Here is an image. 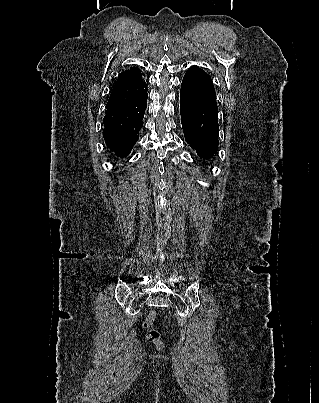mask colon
<instances>
[{
  "label": "colon",
  "mask_w": 319,
  "mask_h": 403,
  "mask_svg": "<svg viewBox=\"0 0 319 403\" xmlns=\"http://www.w3.org/2000/svg\"><path fill=\"white\" fill-rule=\"evenodd\" d=\"M154 318H155V313L151 312L147 316L145 326L149 327L150 323L154 320ZM147 339H148V341L155 343L158 348H161L162 345H161V342L159 340L158 332H156L154 330H149L148 333H147Z\"/></svg>",
  "instance_id": "1"
}]
</instances>
